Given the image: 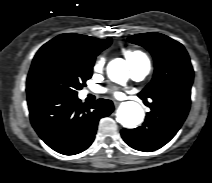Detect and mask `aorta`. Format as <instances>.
<instances>
[{
  "mask_svg": "<svg viewBox=\"0 0 212 183\" xmlns=\"http://www.w3.org/2000/svg\"><path fill=\"white\" fill-rule=\"evenodd\" d=\"M107 73L110 79L117 80L126 76L128 73V65L123 59H114L107 66ZM144 119V111L142 107L133 101H127L120 105L117 111L118 122L127 128L135 127Z\"/></svg>",
  "mask_w": 212,
  "mask_h": 183,
  "instance_id": "aorta-1",
  "label": "aorta"
}]
</instances>
